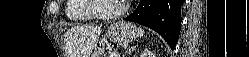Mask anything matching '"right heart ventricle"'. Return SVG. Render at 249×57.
I'll return each mask as SVG.
<instances>
[{
  "label": "right heart ventricle",
  "mask_w": 249,
  "mask_h": 57,
  "mask_svg": "<svg viewBox=\"0 0 249 57\" xmlns=\"http://www.w3.org/2000/svg\"><path fill=\"white\" fill-rule=\"evenodd\" d=\"M85 0H68L66 16L71 21H89L94 17L84 9Z\"/></svg>",
  "instance_id": "1"
}]
</instances>
